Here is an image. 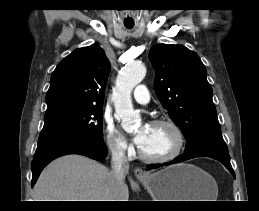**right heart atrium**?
<instances>
[{
	"label": "right heart atrium",
	"instance_id": "d8ad5b80",
	"mask_svg": "<svg viewBox=\"0 0 259 211\" xmlns=\"http://www.w3.org/2000/svg\"><path fill=\"white\" fill-rule=\"evenodd\" d=\"M104 134L106 145L114 156L122 158L130 154L131 146L127 138L108 118L104 120Z\"/></svg>",
	"mask_w": 259,
	"mask_h": 211
}]
</instances>
